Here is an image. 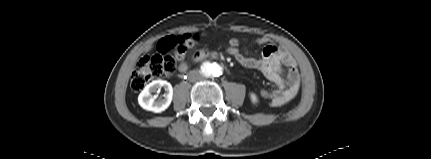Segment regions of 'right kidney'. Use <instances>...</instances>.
<instances>
[{"label":"right kidney","mask_w":431,"mask_h":159,"mask_svg":"<svg viewBox=\"0 0 431 159\" xmlns=\"http://www.w3.org/2000/svg\"><path fill=\"white\" fill-rule=\"evenodd\" d=\"M164 87L165 93L162 98H158L156 95H152L155 92L161 90ZM173 88L171 84L164 80H155L148 84L138 96L139 105L148 111L154 113H161L165 111L172 102Z\"/></svg>","instance_id":"ca27d5eb"}]
</instances>
